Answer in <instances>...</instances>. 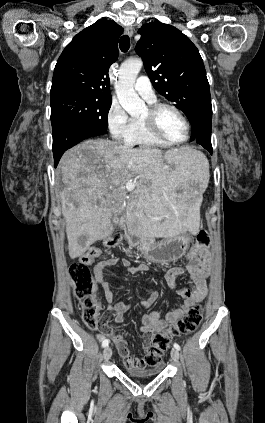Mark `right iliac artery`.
Returning a JSON list of instances; mask_svg holds the SVG:
<instances>
[{
	"mask_svg": "<svg viewBox=\"0 0 265 423\" xmlns=\"http://www.w3.org/2000/svg\"><path fill=\"white\" fill-rule=\"evenodd\" d=\"M108 344H109V340L108 339H104L102 341V347H106V346H108Z\"/></svg>",
	"mask_w": 265,
	"mask_h": 423,
	"instance_id": "obj_1",
	"label": "right iliac artery"
}]
</instances>
